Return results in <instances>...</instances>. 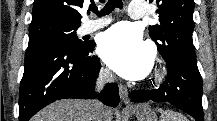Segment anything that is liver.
Returning a JSON list of instances; mask_svg holds the SVG:
<instances>
[{"label": "liver", "mask_w": 217, "mask_h": 121, "mask_svg": "<svg viewBox=\"0 0 217 121\" xmlns=\"http://www.w3.org/2000/svg\"><path fill=\"white\" fill-rule=\"evenodd\" d=\"M90 108V101L65 99L46 106L31 121H89ZM104 114V121H112L109 109L104 108Z\"/></svg>", "instance_id": "obj_1"}]
</instances>
